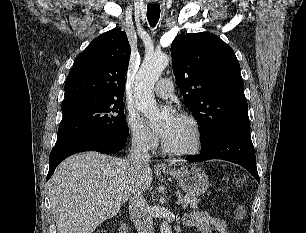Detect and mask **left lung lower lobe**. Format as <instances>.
Here are the masks:
<instances>
[{
    "label": "left lung lower lobe",
    "mask_w": 306,
    "mask_h": 233,
    "mask_svg": "<svg viewBox=\"0 0 306 233\" xmlns=\"http://www.w3.org/2000/svg\"><path fill=\"white\" fill-rule=\"evenodd\" d=\"M189 161L223 159L243 166L260 182L254 147L249 130H232L217 134L205 143L199 155L186 157Z\"/></svg>",
    "instance_id": "1"
}]
</instances>
